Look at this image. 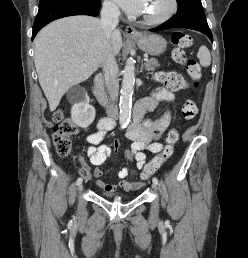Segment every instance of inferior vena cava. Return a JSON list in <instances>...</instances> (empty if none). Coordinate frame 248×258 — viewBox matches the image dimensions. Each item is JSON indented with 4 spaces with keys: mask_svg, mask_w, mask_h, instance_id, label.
Wrapping results in <instances>:
<instances>
[{
    "mask_svg": "<svg viewBox=\"0 0 248 258\" xmlns=\"http://www.w3.org/2000/svg\"><path fill=\"white\" fill-rule=\"evenodd\" d=\"M119 16L120 10L115 4L107 1L103 3L101 10V25L106 37V45L103 52L102 68L105 77V84L112 105L115 104L118 98L119 83L117 79L118 66L111 48L110 38L114 29L118 25Z\"/></svg>",
    "mask_w": 248,
    "mask_h": 258,
    "instance_id": "obj_1",
    "label": "inferior vena cava"
}]
</instances>
